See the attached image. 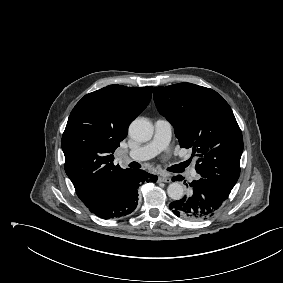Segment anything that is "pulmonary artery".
I'll list each match as a JSON object with an SVG mask.
<instances>
[{
  "label": "pulmonary artery",
  "mask_w": 283,
  "mask_h": 283,
  "mask_svg": "<svg viewBox=\"0 0 283 283\" xmlns=\"http://www.w3.org/2000/svg\"><path fill=\"white\" fill-rule=\"evenodd\" d=\"M154 126L155 132L152 140L138 148L130 150L126 155L127 158L143 161L156 156L168 148L172 134L171 123L166 119H157ZM190 178L197 179L194 168H191Z\"/></svg>",
  "instance_id": "e3ab8cb5"
}]
</instances>
